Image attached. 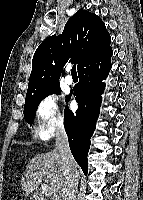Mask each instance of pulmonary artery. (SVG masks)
Instances as JSON below:
<instances>
[{
    "label": "pulmonary artery",
    "mask_w": 143,
    "mask_h": 200,
    "mask_svg": "<svg viewBox=\"0 0 143 200\" xmlns=\"http://www.w3.org/2000/svg\"><path fill=\"white\" fill-rule=\"evenodd\" d=\"M64 80H65V83L68 85L73 84V78L70 75H67Z\"/></svg>",
    "instance_id": "pulmonary-artery-1"
}]
</instances>
